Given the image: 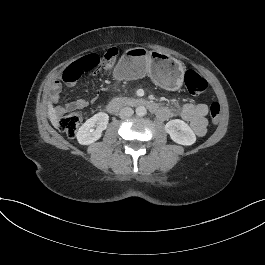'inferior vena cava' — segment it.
Listing matches in <instances>:
<instances>
[{"label": "inferior vena cava", "mask_w": 265, "mask_h": 265, "mask_svg": "<svg viewBox=\"0 0 265 265\" xmlns=\"http://www.w3.org/2000/svg\"><path fill=\"white\" fill-rule=\"evenodd\" d=\"M134 111L132 108L124 107L120 110L119 116L121 119L129 118L133 115Z\"/></svg>", "instance_id": "602c4592"}]
</instances>
